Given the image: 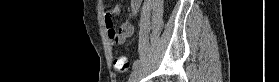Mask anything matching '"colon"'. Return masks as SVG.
I'll return each mask as SVG.
<instances>
[{"label": "colon", "mask_w": 279, "mask_h": 82, "mask_svg": "<svg viewBox=\"0 0 279 82\" xmlns=\"http://www.w3.org/2000/svg\"><path fill=\"white\" fill-rule=\"evenodd\" d=\"M114 67L119 73H127L129 70V60L124 55H119L114 59Z\"/></svg>", "instance_id": "obj_1"}]
</instances>
